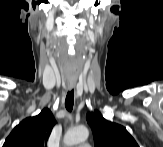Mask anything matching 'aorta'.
Returning <instances> with one entry per match:
<instances>
[{
    "mask_svg": "<svg viewBox=\"0 0 163 147\" xmlns=\"http://www.w3.org/2000/svg\"><path fill=\"white\" fill-rule=\"evenodd\" d=\"M88 136V129L83 125H79L67 131L64 137V143L67 146H72L80 142H84L85 140H87Z\"/></svg>",
    "mask_w": 163,
    "mask_h": 147,
    "instance_id": "obj_1",
    "label": "aorta"
}]
</instances>
